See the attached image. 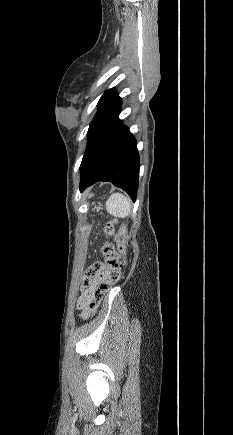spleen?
I'll list each match as a JSON object with an SVG mask.
<instances>
[{
	"mask_svg": "<svg viewBox=\"0 0 233 435\" xmlns=\"http://www.w3.org/2000/svg\"><path fill=\"white\" fill-rule=\"evenodd\" d=\"M106 209L109 214L124 218L131 212L130 199L120 193H114L108 198Z\"/></svg>",
	"mask_w": 233,
	"mask_h": 435,
	"instance_id": "3e777b00",
	"label": "spleen"
}]
</instances>
